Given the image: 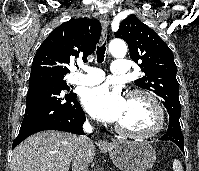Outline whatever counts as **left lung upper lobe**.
<instances>
[{"instance_id":"1","label":"left lung upper lobe","mask_w":199,"mask_h":171,"mask_svg":"<svg viewBox=\"0 0 199 171\" xmlns=\"http://www.w3.org/2000/svg\"><path fill=\"white\" fill-rule=\"evenodd\" d=\"M114 34L126 41L131 59L144 73L143 77L135 80V84L160 96L168 114L180 117L177 67L167 44L134 16L124 19Z\"/></svg>"}]
</instances>
